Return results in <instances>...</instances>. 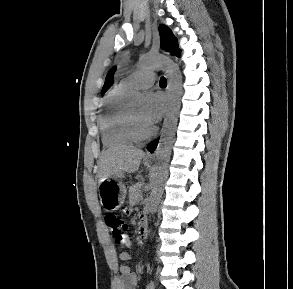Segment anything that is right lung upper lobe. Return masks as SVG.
Returning <instances> with one entry per match:
<instances>
[{"label": "right lung upper lobe", "mask_w": 293, "mask_h": 289, "mask_svg": "<svg viewBox=\"0 0 293 289\" xmlns=\"http://www.w3.org/2000/svg\"><path fill=\"white\" fill-rule=\"evenodd\" d=\"M115 72V68H113L107 75L105 84L102 89V93H104L113 83V74Z\"/></svg>", "instance_id": "cb5924a9"}]
</instances>
